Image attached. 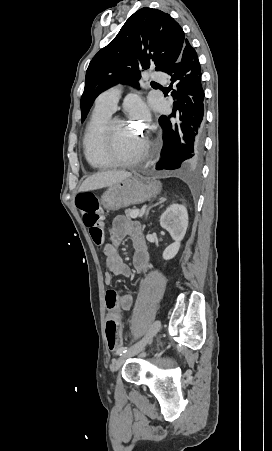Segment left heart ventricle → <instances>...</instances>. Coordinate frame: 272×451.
I'll return each mask as SVG.
<instances>
[{
    "label": "left heart ventricle",
    "instance_id": "b2bd125f",
    "mask_svg": "<svg viewBox=\"0 0 272 451\" xmlns=\"http://www.w3.org/2000/svg\"><path fill=\"white\" fill-rule=\"evenodd\" d=\"M113 138L116 150L122 156L128 154L139 140L134 128L126 121H118L114 123Z\"/></svg>",
    "mask_w": 272,
    "mask_h": 451
}]
</instances>
